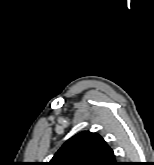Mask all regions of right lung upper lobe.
Listing matches in <instances>:
<instances>
[{
	"mask_svg": "<svg viewBox=\"0 0 154 165\" xmlns=\"http://www.w3.org/2000/svg\"><path fill=\"white\" fill-rule=\"evenodd\" d=\"M115 156L104 139L91 132H81L58 150L50 165H114Z\"/></svg>",
	"mask_w": 154,
	"mask_h": 165,
	"instance_id": "right-lung-upper-lobe-1",
	"label": "right lung upper lobe"
}]
</instances>
